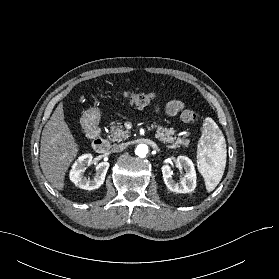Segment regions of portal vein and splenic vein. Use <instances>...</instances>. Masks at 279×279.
<instances>
[{"label": "portal vein and splenic vein", "instance_id": "obj_1", "mask_svg": "<svg viewBox=\"0 0 279 279\" xmlns=\"http://www.w3.org/2000/svg\"><path fill=\"white\" fill-rule=\"evenodd\" d=\"M176 146L175 145H173V146H170V148H175Z\"/></svg>", "mask_w": 279, "mask_h": 279}]
</instances>
